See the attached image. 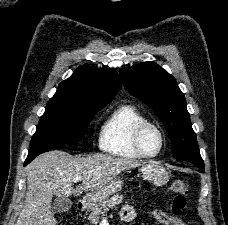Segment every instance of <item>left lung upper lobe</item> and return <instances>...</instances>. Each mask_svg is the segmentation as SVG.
I'll list each match as a JSON object with an SVG mask.
<instances>
[{
  "mask_svg": "<svg viewBox=\"0 0 228 225\" xmlns=\"http://www.w3.org/2000/svg\"><path fill=\"white\" fill-rule=\"evenodd\" d=\"M120 74L125 89L151 107L164 124L173 156L204 169L185 96L174 77L154 62L122 68Z\"/></svg>",
  "mask_w": 228,
  "mask_h": 225,
  "instance_id": "obj_1",
  "label": "left lung upper lobe"
}]
</instances>
